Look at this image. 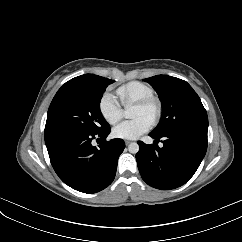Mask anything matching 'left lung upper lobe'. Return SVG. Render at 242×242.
Returning <instances> with one entry per match:
<instances>
[{
  "label": "left lung upper lobe",
  "mask_w": 242,
  "mask_h": 242,
  "mask_svg": "<svg viewBox=\"0 0 242 242\" xmlns=\"http://www.w3.org/2000/svg\"><path fill=\"white\" fill-rule=\"evenodd\" d=\"M158 93L162 101V117L151 132L156 136L184 128H208V117L199 96L184 80L168 75L145 79Z\"/></svg>",
  "instance_id": "obj_1"
}]
</instances>
